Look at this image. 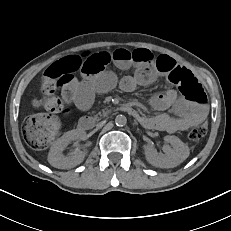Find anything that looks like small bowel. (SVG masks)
<instances>
[{
    "instance_id": "obj_1",
    "label": "small bowel",
    "mask_w": 231,
    "mask_h": 231,
    "mask_svg": "<svg viewBox=\"0 0 231 231\" xmlns=\"http://www.w3.org/2000/svg\"><path fill=\"white\" fill-rule=\"evenodd\" d=\"M59 62L65 64L70 72H80L81 79L72 75L70 83L71 99L81 109L91 105L95 94L106 93L119 85L124 91L131 92L140 85H148L162 75L169 76L177 70H187L169 56L154 57L147 49L133 51L119 48L114 51L86 52L67 56ZM121 70L135 68L132 75L119 79L108 70L109 65ZM152 106L160 111L171 110L172 114L162 112L154 117H140V122L148 128L166 132L186 130L201 124L208 115L205 102L181 97L175 90H168L156 95L151 100Z\"/></svg>"
}]
</instances>
